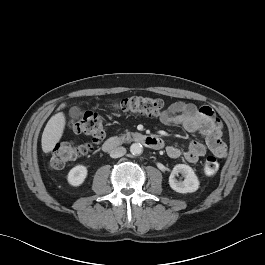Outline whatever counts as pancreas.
<instances>
[{"mask_svg": "<svg viewBox=\"0 0 265 265\" xmlns=\"http://www.w3.org/2000/svg\"><path fill=\"white\" fill-rule=\"evenodd\" d=\"M135 134L132 132H126L125 134H120L121 139L130 138L131 136H134Z\"/></svg>", "mask_w": 265, "mask_h": 265, "instance_id": "pancreas-1", "label": "pancreas"}]
</instances>
